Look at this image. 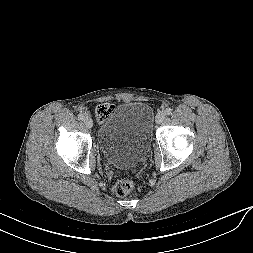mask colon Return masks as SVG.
Returning <instances> with one entry per match:
<instances>
[{
  "label": "colon",
  "mask_w": 253,
  "mask_h": 253,
  "mask_svg": "<svg viewBox=\"0 0 253 253\" xmlns=\"http://www.w3.org/2000/svg\"><path fill=\"white\" fill-rule=\"evenodd\" d=\"M113 106L110 104H102L96 110V116L99 120L106 119L112 112ZM135 187L134 182L131 179H122L119 180L112 188L113 193L116 196H126L128 195Z\"/></svg>",
  "instance_id": "colon-1"
}]
</instances>
